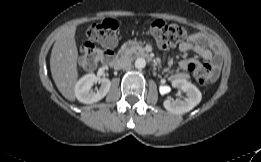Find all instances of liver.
I'll use <instances>...</instances> for the list:
<instances>
[{"label": "liver", "mask_w": 261, "mask_h": 162, "mask_svg": "<svg viewBox=\"0 0 261 162\" xmlns=\"http://www.w3.org/2000/svg\"><path fill=\"white\" fill-rule=\"evenodd\" d=\"M75 31L76 26L72 25L57 35L50 57L52 78L59 92L69 101H75L74 88L78 79Z\"/></svg>", "instance_id": "liver-1"}]
</instances>
